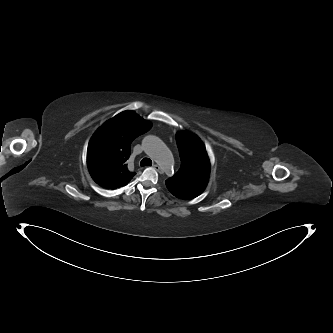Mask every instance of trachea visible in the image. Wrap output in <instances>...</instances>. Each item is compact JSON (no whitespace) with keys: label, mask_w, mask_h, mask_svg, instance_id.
I'll return each mask as SVG.
<instances>
[{"label":"trachea","mask_w":333,"mask_h":333,"mask_svg":"<svg viewBox=\"0 0 333 333\" xmlns=\"http://www.w3.org/2000/svg\"><path fill=\"white\" fill-rule=\"evenodd\" d=\"M141 167L144 166H151L152 165V160L149 158H143L140 162Z\"/></svg>","instance_id":"3493384b"}]
</instances>
